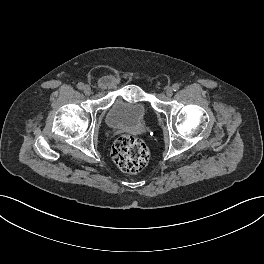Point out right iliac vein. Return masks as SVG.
<instances>
[{
	"mask_svg": "<svg viewBox=\"0 0 264 264\" xmlns=\"http://www.w3.org/2000/svg\"><path fill=\"white\" fill-rule=\"evenodd\" d=\"M83 91H84V93H85L86 95H89V94L91 93V88H90V86L86 85V86L84 87Z\"/></svg>",
	"mask_w": 264,
	"mask_h": 264,
	"instance_id": "right-iliac-vein-1",
	"label": "right iliac vein"
}]
</instances>
